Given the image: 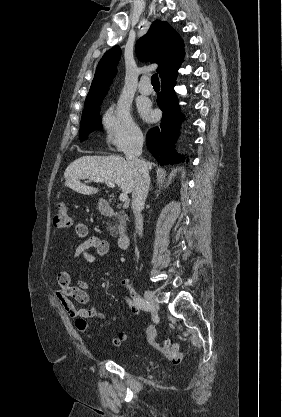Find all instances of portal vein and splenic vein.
I'll return each instance as SVG.
<instances>
[{
    "label": "portal vein and splenic vein",
    "mask_w": 282,
    "mask_h": 417,
    "mask_svg": "<svg viewBox=\"0 0 282 417\" xmlns=\"http://www.w3.org/2000/svg\"><path fill=\"white\" fill-rule=\"evenodd\" d=\"M90 180H94V182H105V184H107V186H111V188H114L115 186L114 182H110V180H104V178H90ZM119 198L120 200H128L127 192H122Z\"/></svg>",
    "instance_id": "portal-vein-and-splenic-vein-1"
}]
</instances>
